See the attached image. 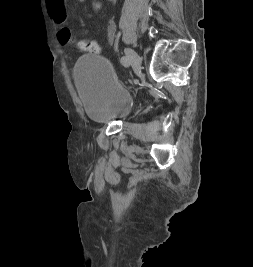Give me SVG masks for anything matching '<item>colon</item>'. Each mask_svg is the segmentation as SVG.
Listing matches in <instances>:
<instances>
[{
    "instance_id": "1",
    "label": "colon",
    "mask_w": 253,
    "mask_h": 267,
    "mask_svg": "<svg viewBox=\"0 0 253 267\" xmlns=\"http://www.w3.org/2000/svg\"><path fill=\"white\" fill-rule=\"evenodd\" d=\"M57 37L61 45L68 46L74 50L94 54L100 53L101 49L96 41L80 38L69 27H62Z\"/></svg>"
}]
</instances>
